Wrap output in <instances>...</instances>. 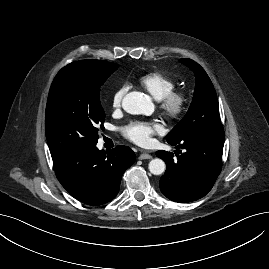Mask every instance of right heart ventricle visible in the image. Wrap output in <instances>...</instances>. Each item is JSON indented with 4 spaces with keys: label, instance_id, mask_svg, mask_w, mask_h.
Wrapping results in <instances>:
<instances>
[{
    "label": "right heart ventricle",
    "instance_id": "obj_1",
    "mask_svg": "<svg viewBox=\"0 0 269 269\" xmlns=\"http://www.w3.org/2000/svg\"><path fill=\"white\" fill-rule=\"evenodd\" d=\"M139 84L156 100L162 99L176 87L174 79L161 72H150L141 76Z\"/></svg>",
    "mask_w": 269,
    "mask_h": 269
}]
</instances>
